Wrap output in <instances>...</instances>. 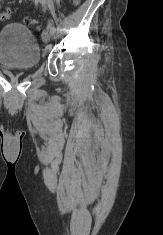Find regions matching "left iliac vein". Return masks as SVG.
<instances>
[{"label": "left iliac vein", "instance_id": "left-iliac-vein-1", "mask_svg": "<svg viewBox=\"0 0 163 235\" xmlns=\"http://www.w3.org/2000/svg\"><path fill=\"white\" fill-rule=\"evenodd\" d=\"M51 39V34L50 31L48 29H44L42 32V40L44 43H49ZM48 48L46 49L47 52Z\"/></svg>", "mask_w": 163, "mask_h": 235}]
</instances>
